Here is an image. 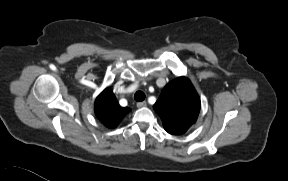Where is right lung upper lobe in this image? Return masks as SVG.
I'll use <instances>...</instances> for the list:
<instances>
[{"label":"right lung upper lobe","instance_id":"right-lung-upper-lobe-1","mask_svg":"<svg viewBox=\"0 0 288 181\" xmlns=\"http://www.w3.org/2000/svg\"><path fill=\"white\" fill-rule=\"evenodd\" d=\"M95 114L108 128H115L123 117L130 111L128 107H121L113 92L106 88L95 100Z\"/></svg>","mask_w":288,"mask_h":181}]
</instances>
